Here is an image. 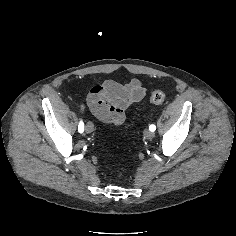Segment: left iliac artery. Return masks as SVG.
<instances>
[{
    "instance_id": "1",
    "label": "left iliac artery",
    "mask_w": 236,
    "mask_h": 236,
    "mask_svg": "<svg viewBox=\"0 0 236 236\" xmlns=\"http://www.w3.org/2000/svg\"><path fill=\"white\" fill-rule=\"evenodd\" d=\"M149 130H150V131H155V130H156V126L153 125V124L150 125V126H149Z\"/></svg>"
}]
</instances>
